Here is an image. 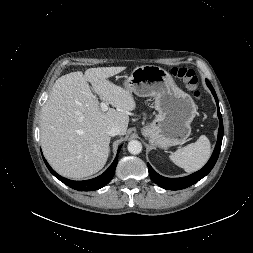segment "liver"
Here are the masks:
<instances>
[{"label": "liver", "instance_id": "liver-1", "mask_svg": "<svg viewBox=\"0 0 253 253\" xmlns=\"http://www.w3.org/2000/svg\"><path fill=\"white\" fill-rule=\"evenodd\" d=\"M126 67L89 68L61 76L54 83L41 113L43 153L52 168L67 178L80 179L101 170L109 155L107 129L116 125L125 135L128 113L136 103L127 89L108 78ZM116 109L103 112L96 95Z\"/></svg>", "mask_w": 253, "mask_h": 253}]
</instances>
